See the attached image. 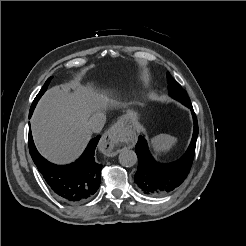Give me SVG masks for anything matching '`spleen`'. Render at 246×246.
<instances>
[{"label": "spleen", "mask_w": 246, "mask_h": 246, "mask_svg": "<svg viewBox=\"0 0 246 246\" xmlns=\"http://www.w3.org/2000/svg\"><path fill=\"white\" fill-rule=\"evenodd\" d=\"M176 141L177 138L167 134H160L152 138L151 146L155 152V156H161L162 153L168 152Z\"/></svg>", "instance_id": "1"}]
</instances>
